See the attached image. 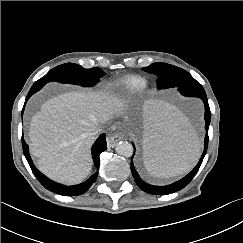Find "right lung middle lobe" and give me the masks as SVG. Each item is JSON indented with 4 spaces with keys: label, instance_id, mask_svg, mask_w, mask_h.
Listing matches in <instances>:
<instances>
[{
    "label": "right lung middle lobe",
    "instance_id": "obj_1",
    "mask_svg": "<svg viewBox=\"0 0 243 243\" xmlns=\"http://www.w3.org/2000/svg\"><path fill=\"white\" fill-rule=\"evenodd\" d=\"M104 75L100 68L85 69L77 64L67 63L50 70L44 77L35 82V85H45L51 81L76 84L83 87L94 86Z\"/></svg>",
    "mask_w": 243,
    "mask_h": 243
}]
</instances>
